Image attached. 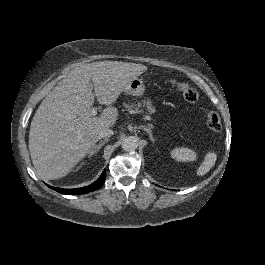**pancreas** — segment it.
I'll list each match as a JSON object with an SVG mask.
<instances>
[{"label":"pancreas","mask_w":265,"mask_h":265,"mask_svg":"<svg viewBox=\"0 0 265 265\" xmlns=\"http://www.w3.org/2000/svg\"><path fill=\"white\" fill-rule=\"evenodd\" d=\"M137 104V106H136ZM122 111H128L130 113H137L139 111L141 112H149L151 114L154 113V107L152 106V102L144 98L143 101L137 99L136 101H128V102H123V108Z\"/></svg>","instance_id":"obj_1"}]
</instances>
